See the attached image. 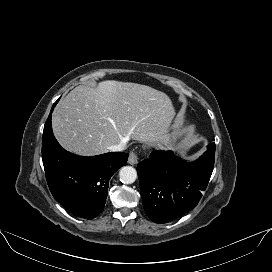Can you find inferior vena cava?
I'll return each instance as SVG.
<instances>
[{
  "instance_id": "obj_1",
  "label": "inferior vena cava",
  "mask_w": 272,
  "mask_h": 272,
  "mask_svg": "<svg viewBox=\"0 0 272 272\" xmlns=\"http://www.w3.org/2000/svg\"><path fill=\"white\" fill-rule=\"evenodd\" d=\"M126 148V142H120L115 145H111L108 147V149L112 152H121Z\"/></svg>"
}]
</instances>
